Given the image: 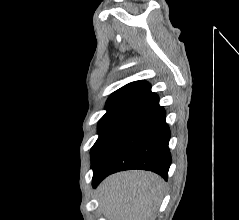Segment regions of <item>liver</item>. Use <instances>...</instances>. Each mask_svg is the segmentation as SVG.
<instances>
[{
	"label": "liver",
	"instance_id": "liver-1",
	"mask_svg": "<svg viewBox=\"0 0 239 220\" xmlns=\"http://www.w3.org/2000/svg\"><path fill=\"white\" fill-rule=\"evenodd\" d=\"M164 181L145 171H126L107 177L98 198L107 220H154Z\"/></svg>",
	"mask_w": 239,
	"mask_h": 220
}]
</instances>
